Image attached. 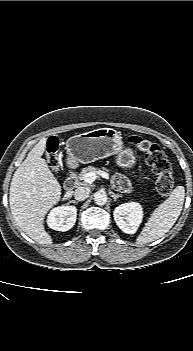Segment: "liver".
I'll return each mask as SVG.
<instances>
[{"instance_id":"1","label":"liver","mask_w":193,"mask_h":351,"mask_svg":"<svg viewBox=\"0 0 193 351\" xmlns=\"http://www.w3.org/2000/svg\"><path fill=\"white\" fill-rule=\"evenodd\" d=\"M46 143L47 138H42L16 169L9 204L20 229L39 244L50 245L52 238L44 228V217L60 200L61 186L42 158ZM71 195L72 191H67L64 198Z\"/></svg>"}]
</instances>
